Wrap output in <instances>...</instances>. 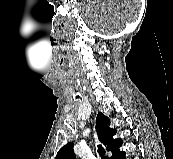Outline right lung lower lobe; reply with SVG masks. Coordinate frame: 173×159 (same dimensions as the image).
<instances>
[{"label":"right lung lower lobe","mask_w":173,"mask_h":159,"mask_svg":"<svg viewBox=\"0 0 173 159\" xmlns=\"http://www.w3.org/2000/svg\"><path fill=\"white\" fill-rule=\"evenodd\" d=\"M121 159H125V155H123V156L121 157Z\"/></svg>","instance_id":"98d812e1"}]
</instances>
